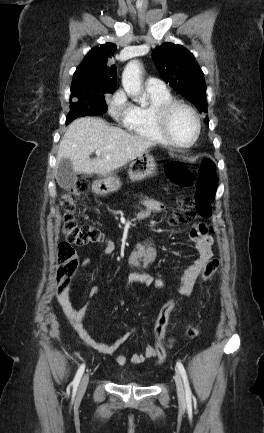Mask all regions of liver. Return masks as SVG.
<instances>
[{"instance_id": "6515ba94", "label": "liver", "mask_w": 264, "mask_h": 433, "mask_svg": "<svg viewBox=\"0 0 264 433\" xmlns=\"http://www.w3.org/2000/svg\"><path fill=\"white\" fill-rule=\"evenodd\" d=\"M153 146L152 141L109 126L103 119L82 117L68 126L61 139L57 165L66 158L76 173L106 177ZM96 150L101 154L91 160L90 155Z\"/></svg>"}]
</instances>
